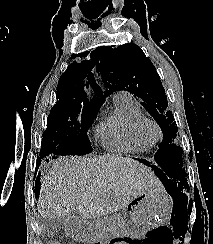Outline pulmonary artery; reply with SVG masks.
I'll use <instances>...</instances> for the list:
<instances>
[{
	"mask_svg": "<svg viewBox=\"0 0 213 244\" xmlns=\"http://www.w3.org/2000/svg\"><path fill=\"white\" fill-rule=\"evenodd\" d=\"M119 93L128 95V94H127L126 92H124V91H122V92H118L117 94H119Z\"/></svg>",
	"mask_w": 213,
	"mask_h": 244,
	"instance_id": "e3ab8cb5",
	"label": "pulmonary artery"
}]
</instances>
